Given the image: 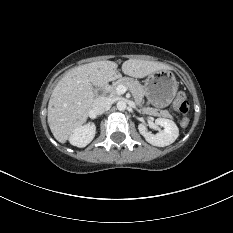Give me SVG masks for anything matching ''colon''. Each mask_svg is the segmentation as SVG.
I'll return each mask as SVG.
<instances>
[{
	"mask_svg": "<svg viewBox=\"0 0 233 233\" xmlns=\"http://www.w3.org/2000/svg\"><path fill=\"white\" fill-rule=\"evenodd\" d=\"M174 106L176 110L183 116L181 119V125L183 127L188 126L189 119L187 117L189 110H190V103L186 98V95L184 92L179 91L176 95Z\"/></svg>",
	"mask_w": 233,
	"mask_h": 233,
	"instance_id": "obj_1",
	"label": "colon"
}]
</instances>
